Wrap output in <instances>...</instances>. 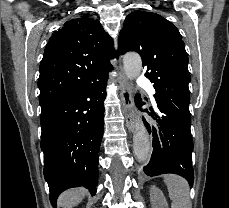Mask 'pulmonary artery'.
I'll list each match as a JSON object with an SVG mask.
<instances>
[{"label": "pulmonary artery", "instance_id": "1", "mask_svg": "<svg viewBox=\"0 0 229 208\" xmlns=\"http://www.w3.org/2000/svg\"><path fill=\"white\" fill-rule=\"evenodd\" d=\"M138 86L139 87H146L148 92L153 95L155 93V90L152 86V84H149V78H139L138 79Z\"/></svg>", "mask_w": 229, "mask_h": 208}]
</instances>
